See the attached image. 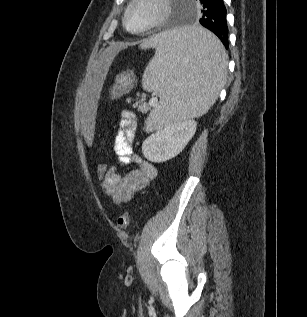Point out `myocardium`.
<instances>
[{
	"instance_id": "obj_1",
	"label": "myocardium",
	"mask_w": 307,
	"mask_h": 317,
	"mask_svg": "<svg viewBox=\"0 0 307 317\" xmlns=\"http://www.w3.org/2000/svg\"><path fill=\"white\" fill-rule=\"evenodd\" d=\"M141 1L142 0H130V2L128 3L127 7L125 8V11H124L123 16H122L123 26L125 27V29L128 32L133 33V34H142V33L148 32V31L156 28L157 26L162 24L168 18L170 11H171V5H170L169 0H149L153 3H155L158 7V12H157L156 16L149 23H147L145 26H143L139 29H131V28H129L128 23H127L129 13L133 9V7Z\"/></svg>"
}]
</instances>
